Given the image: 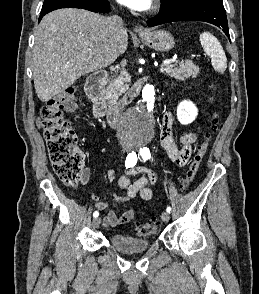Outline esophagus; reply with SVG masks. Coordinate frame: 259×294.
Wrapping results in <instances>:
<instances>
[{
	"instance_id": "obj_1",
	"label": "esophagus",
	"mask_w": 259,
	"mask_h": 294,
	"mask_svg": "<svg viewBox=\"0 0 259 294\" xmlns=\"http://www.w3.org/2000/svg\"><path fill=\"white\" fill-rule=\"evenodd\" d=\"M134 30H135V32L138 33L139 35H143V34H145V32H146L145 28H144L142 25H136V26L134 27Z\"/></svg>"
}]
</instances>
